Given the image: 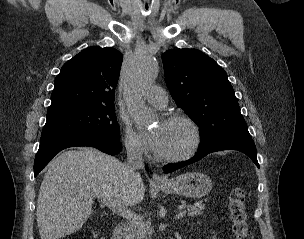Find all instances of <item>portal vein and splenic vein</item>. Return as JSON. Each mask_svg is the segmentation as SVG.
<instances>
[{
	"label": "portal vein and splenic vein",
	"mask_w": 304,
	"mask_h": 239,
	"mask_svg": "<svg viewBox=\"0 0 304 239\" xmlns=\"http://www.w3.org/2000/svg\"><path fill=\"white\" fill-rule=\"evenodd\" d=\"M101 202L111 208L114 212H116L119 216L126 218L131 221H135L138 216L124 205L118 203L115 199L112 198H101ZM185 215V211H181L176 214L175 219H180Z\"/></svg>",
	"instance_id": "1"
}]
</instances>
